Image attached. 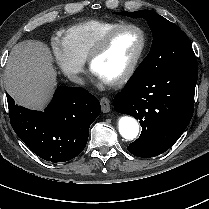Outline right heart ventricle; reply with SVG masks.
<instances>
[{
  "mask_svg": "<svg viewBox=\"0 0 209 209\" xmlns=\"http://www.w3.org/2000/svg\"><path fill=\"white\" fill-rule=\"evenodd\" d=\"M117 24L113 20L88 19L65 28L63 39L74 56L84 61L99 38Z\"/></svg>",
  "mask_w": 209,
  "mask_h": 209,
  "instance_id": "1",
  "label": "right heart ventricle"
}]
</instances>
